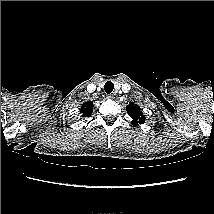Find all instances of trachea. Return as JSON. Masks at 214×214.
<instances>
[{
	"label": "trachea",
	"mask_w": 214,
	"mask_h": 214,
	"mask_svg": "<svg viewBox=\"0 0 214 214\" xmlns=\"http://www.w3.org/2000/svg\"><path fill=\"white\" fill-rule=\"evenodd\" d=\"M113 89H114V84L112 82L108 81L105 83L104 90L107 94L112 93Z\"/></svg>",
	"instance_id": "1"
}]
</instances>
